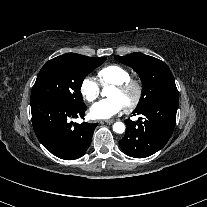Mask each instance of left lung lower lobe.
<instances>
[{"instance_id":"1","label":"left lung lower lobe","mask_w":207,"mask_h":207,"mask_svg":"<svg viewBox=\"0 0 207 207\" xmlns=\"http://www.w3.org/2000/svg\"><path fill=\"white\" fill-rule=\"evenodd\" d=\"M177 108L178 102L165 101L134 111L140 118L137 122L126 120L125 136L119 141L122 151L130 157L145 158L160 150L173 132Z\"/></svg>"}]
</instances>
